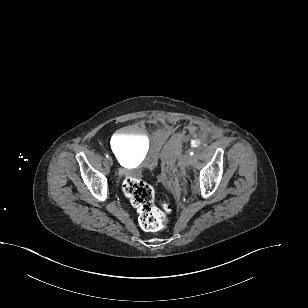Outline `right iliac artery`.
Instances as JSON below:
<instances>
[{
	"instance_id": "obj_1",
	"label": "right iliac artery",
	"mask_w": 308,
	"mask_h": 308,
	"mask_svg": "<svg viewBox=\"0 0 308 308\" xmlns=\"http://www.w3.org/2000/svg\"><path fill=\"white\" fill-rule=\"evenodd\" d=\"M107 158L109 157L108 154L105 155Z\"/></svg>"
}]
</instances>
